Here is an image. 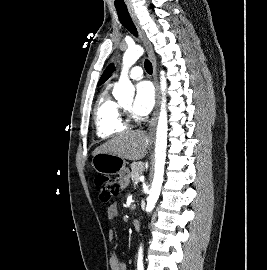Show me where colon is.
Returning <instances> with one entry per match:
<instances>
[{
    "label": "colon",
    "instance_id": "1",
    "mask_svg": "<svg viewBox=\"0 0 267 270\" xmlns=\"http://www.w3.org/2000/svg\"><path fill=\"white\" fill-rule=\"evenodd\" d=\"M94 186L98 192L100 201L103 203H107L113 197L117 196L121 189V184L118 180L103 174L95 177Z\"/></svg>",
    "mask_w": 267,
    "mask_h": 270
}]
</instances>
